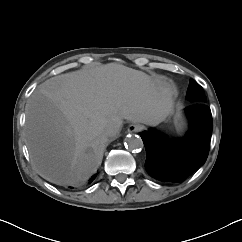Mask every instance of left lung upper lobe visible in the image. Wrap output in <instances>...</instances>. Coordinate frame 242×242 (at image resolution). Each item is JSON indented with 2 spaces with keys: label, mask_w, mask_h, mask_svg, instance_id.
Masks as SVG:
<instances>
[{
  "label": "left lung upper lobe",
  "mask_w": 242,
  "mask_h": 242,
  "mask_svg": "<svg viewBox=\"0 0 242 242\" xmlns=\"http://www.w3.org/2000/svg\"><path fill=\"white\" fill-rule=\"evenodd\" d=\"M187 97L190 101H192L194 103H205L206 102V96L204 94L203 88L193 79H191L189 81Z\"/></svg>",
  "instance_id": "1"
}]
</instances>
